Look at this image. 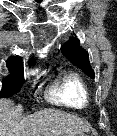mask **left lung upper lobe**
Masks as SVG:
<instances>
[{
  "label": "left lung upper lobe",
  "instance_id": "left-lung-upper-lobe-1",
  "mask_svg": "<svg viewBox=\"0 0 117 136\" xmlns=\"http://www.w3.org/2000/svg\"><path fill=\"white\" fill-rule=\"evenodd\" d=\"M61 51L69 61L82 69L90 78H94V71L89 63L88 52L80 46L78 39L70 38V41L61 47Z\"/></svg>",
  "mask_w": 117,
  "mask_h": 136
}]
</instances>
